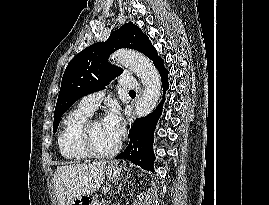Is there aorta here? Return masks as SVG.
<instances>
[{
  "label": "aorta",
  "mask_w": 269,
  "mask_h": 205,
  "mask_svg": "<svg viewBox=\"0 0 269 205\" xmlns=\"http://www.w3.org/2000/svg\"><path fill=\"white\" fill-rule=\"evenodd\" d=\"M111 59L129 68L144 85V91L135 105L136 116L144 117L151 113L161 95V80L153 63L143 54L126 49L117 50Z\"/></svg>",
  "instance_id": "aorta-1"
}]
</instances>
